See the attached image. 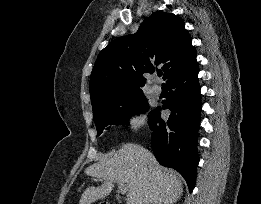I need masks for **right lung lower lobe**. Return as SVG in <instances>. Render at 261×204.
<instances>
[{
	"instance_id": "obj_1",
	"label": "right lung lower lobe",
	"mask_w": 261,
	"mask_h": 204,
	"mask_svg": "<svg viewBox=\"0 0 261 204\" xmlns=\"http://www.w3.org/2000/svg\"><path fill=\"white\" fill-rule=\"evenodd\" d=\"M198 63L189 66L167 80L170 97L161 107L152 110L149 126L153 131L151 143L158 162L179 171L192 192L196 181L197 131L200 124V86ZM162 109H169L168 120L160 116Z\"/></svg>"
}]
</instances>
